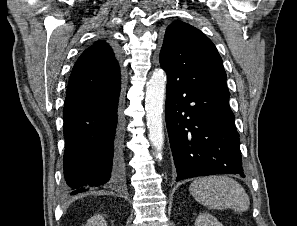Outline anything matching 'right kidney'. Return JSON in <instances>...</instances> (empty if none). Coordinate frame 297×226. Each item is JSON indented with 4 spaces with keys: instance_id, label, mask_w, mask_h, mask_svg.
<instances>
[{
    "instance_id": "ca27d5eb",
    "label": "right kidney",
    "mask_w": 297,
    "mask_h": 226,
    "mask_svg": "<svg viewBox=\"0 0 297 226\" xmlns=\"http://www.w3.org/2000/svg\"><path fill=\"white\" fill-rule=\"evenodd\" d=\"M86 226H107V223L101 215H94L88 220Z\"/></svg>"
}]
</instances>
